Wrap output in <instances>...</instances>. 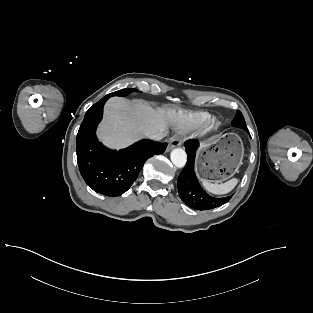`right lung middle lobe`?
Here are the masks:
<instances>
[{
  "instance_id": "obj_1",
  "label": "right lung middle lobe",
  "mask_w": 313,
  "mask_h": 313,
  "mask_svg": "<svg viewBox=\"0 0 313 313\" xmlns=\"http://www.w3.org/2000/svg\"><path fill=\"white\" fill-rule=\"evenodd\" d=\"M134 91H137L136 89H122V90H119V91H116V92H113V93H110L106 96L108 97H112V96H126L128 95L129 93L131 92H134Z\"/></svg>"
}]
</instances>
